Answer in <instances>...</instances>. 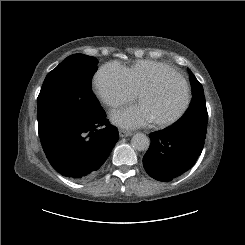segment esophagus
<instances>
[{"label":"esophagus","mask_w":245,"mask_h":245,"mask_svg":"<svg viewBox=\"0 0 245 245\" xmlns=\"http://www.w3.org/2000/svg\"><path fill=\"white\" fill-rule=\"evenodd\" d=\"M131 135H132V132H130V131H126L123 129L119 130V136L120 137H127V136H131Z\"/></svg>","instance_id":"34e87169"}]
</instances>
